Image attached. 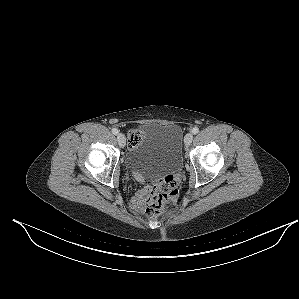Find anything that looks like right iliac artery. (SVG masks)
Here are the masks:
<instances>
[{"label":"right iliac artery","mask_w":299,"mask_h":299,"mask_svg":"<svg viewBox=\"0 0 299 299\" xmlns=\"http://www.w3.org/2000/svg\"><path fill=\"white\" fill-rule=\"evenodd\" d=\"M118 132H119V131H118V129H117V128H113V129H112V133H113V134H115V135H116V134H118Z\"/></svg>","instance_id":"1"}]
</instances>
